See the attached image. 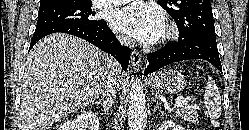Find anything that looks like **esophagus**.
Listing matches in <instances>:
<instances>
[{"label": "esophagus", "mask_w": 249, "mask_h": 130, "mask_svg": "<svg viewBox=\"0 0 249 130\" xmlns=\"http://www.w3.org/2000/svg\"><path fill=\"white\" fill-rule=\"evenodd\" d=\"M131 65L136 71H138L141 67V55L136 50L132 51L131 53Z\"/></svg>", "instance_id": "34e87169"}]
</instances>
